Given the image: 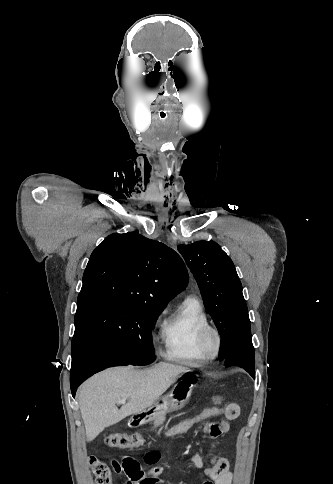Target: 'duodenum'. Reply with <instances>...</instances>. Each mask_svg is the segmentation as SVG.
<instances>
[{"label": "duodenum", "mask_w": 333, "mask_h": 484, "mask_svg": "<svg viewBox=\"0 0 333 484\" xmlns=\"http://www.w3.org/2000/svg\"><path fill=\"white\" fill-rule=\"evenodd\" d=\"M137 423H138V420H134V421L132 422V425H137Z\"/></svg>", "instance_id": "obj_1"}]
</instances>
